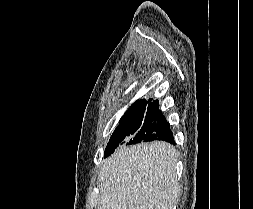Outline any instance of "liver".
I'll list each match as a JSON object with an SVG mask.
<instances>
[{
  "mask_svg": "<svg viewBox=\"0 0 253 209\" xmlns=\"http://www.w3.org/2000/svg\"><path fill=\"white\" fill-rule=\"evenodd\" d=\"M176 165V150L166 142L121 147L100 167L98 209H174Z\"/></svg>",
  "mask_w": 253,
  "mask_h": 209,
  "instance_id": "1",
  "label": "liver"
}]
</instances>
